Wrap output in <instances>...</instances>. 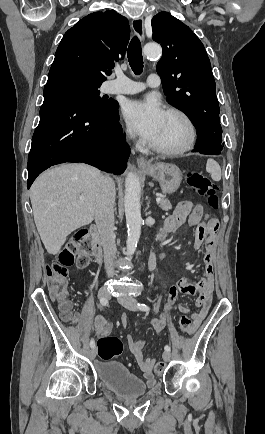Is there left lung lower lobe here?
<instances>
[{"label": "left lung lower lobe", "mask_w": 265, "mask_h": 434, "mask_svg": "<svg viewBox=\"0 0 265 434\" xmlns=\"http://www.w3.org/2000/svg\"><path fill=\"white\" fill-rule=\"evenodd\" d=\"M222 143L206 137H198L194 150L201 154L218 155L222 151Z\"/></svg>", "instance_id": "0a47b994"}]
</instances>
